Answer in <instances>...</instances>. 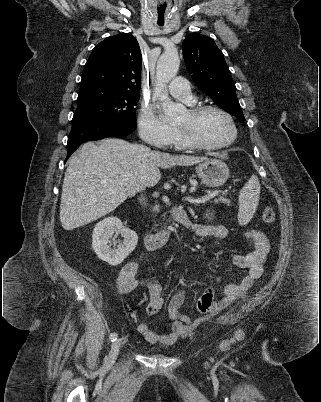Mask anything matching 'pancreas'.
Returning <instances> with one entry per match:
<instances>
[{
	"label": "pancreas",
	"mask_w": 321,
	"mask_h": 402,
	"mask_svg": "<svg viewBox=\"0 0 321 402\" xmlns=\"http://www.w3.org/2000/svg\"><path fill=\"white\" fill-rule=\"evenodd\" d=\"M219 201L224 203V204H230V201L228 199H226V198H223V197H220L218 200H215V203H218ZM153 211L158 212L159 211V206L155 205L154 208H153Z\"/></svg>",
	"instance_id": "1"
}]
</instances>
